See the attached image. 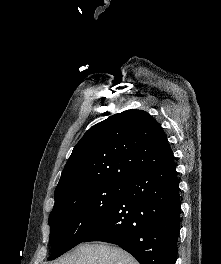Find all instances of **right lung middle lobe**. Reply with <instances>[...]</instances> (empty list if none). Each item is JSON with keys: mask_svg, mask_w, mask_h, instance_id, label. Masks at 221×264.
I'll list each match as a JSON object with an SVG mask.
<instances>
[{"mask_svg": "<svg viewBox=\"0 0 221 264\" xmlns=\"http://www.w3.org/2000/svg\"><path fill=\"white\" fill-rule=\"evenodd\" d=\"M125 182H107L75 193L49 215L53 260L80 244L114 208Z\"/></svg>", "mask_w": 221, "mask_h": 264, "instance_id": "1", "label": "right lung middle lobe"}]
</instances>
